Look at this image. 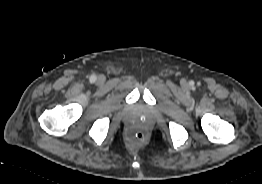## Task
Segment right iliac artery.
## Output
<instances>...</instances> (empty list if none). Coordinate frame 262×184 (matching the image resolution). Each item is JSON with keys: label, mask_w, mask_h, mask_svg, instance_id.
I'll list each match as a JSON object with an SVG mask.
<instances>
[{"label": "right iliac artery", "mask_w": 262, "mask_h": 184, "mask_svg": "<svg viewBox=\"0 0 262 184\" xmlns=\"http://www.w3.org/2000/svg\"><path fill=\"white\" fill-rule=\"evenodd\" d=\"M95 80H96V76H95V75H91L90 81H91V82H94Z\"/></svg>", "instance_id": "right-iliac-artery-1"}]
</instances>
